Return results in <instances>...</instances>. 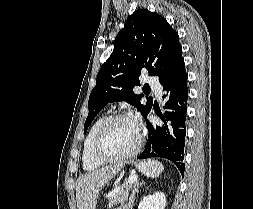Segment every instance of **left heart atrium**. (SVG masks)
Listing matches in <instances>:
<instances>
[{
	"label": "left heart atrium",
	"mask_w": 253,
	"mask_h": 209,
	"mask_svg": "<svg viewBox=\"0 0 253 209\" xmlns=\"http://www.w3.org/2000/svg\"><path fill=\"white\" fill-rule=\"evenodd\" d=\"M135 124H136V126L138 125V122L135 120V122H134Z\"/></svg>",
	"instance_id": "obj_1"
}]
</instances>
